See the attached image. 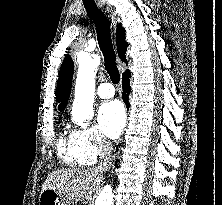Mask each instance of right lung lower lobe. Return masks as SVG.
<instances>
[{
	"label": "right lung lower lobe",
	"instance_id": "right-lung-lower-lobe-1",
	"mask_svg": "<svg viewBox=\"0 0 222 205\" xmlns=\"http://www.w3.org/2000/svg\"><path fill=\"white\" fill-rule=\"evenodd\" d=\"M130 72H126L123 74V78H122V87H123V101L126 104L127 108H129V102H128V96L129 93L131 92V88H130Z\"/></svg>",
	"mask_w": 222,
	"mask_h": 205
}]
</instances>
